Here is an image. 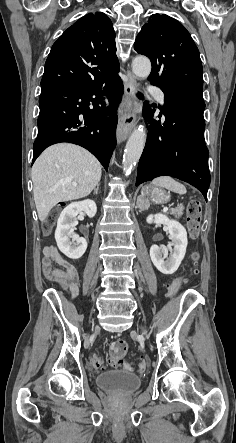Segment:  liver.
I'll list each match as a JSON object with an SVG mask.
<instances>
[{
    "instance_id": "6515ba94",
    "label": "liver",
    "mask_w": 236,
    "mask_h": 443,
    "mask_svg": "<svg viewBox=\"0 0 236 443\" xmlns=\"http://www.w3.org/2000/svg\"><path fill=\"white\" fill-rule=\"evenodd\" d=\"M101 174L99 161L80 146L60 143L47 148L31 171L39 220L43 222L59 202L88 196Z\"/></svg>"
}]
</instances>
